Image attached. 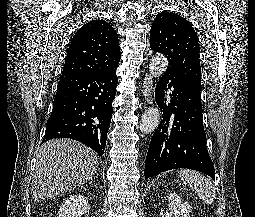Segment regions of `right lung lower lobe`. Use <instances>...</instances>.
Returning a JSON list of instances; mask_svg holds the SVG:
<instances>
[{
	"instance_id": "right-lung-lower-lobe-1",
	"label": "right lung lower lobe",
	"mask_w": 255,
	"mask_h": 217,
	"mask_svg": "<svg viewBox=\"0 0 255 217\" xmlns=\"http://www.w3.org/2000/svg\"><path fill=\"white\" fill-rule=\"evenodd\" d=\"M117 86L116 72L62 74L42 143L71 138L104 154Z\"/></svg>"
}]
</instances>
